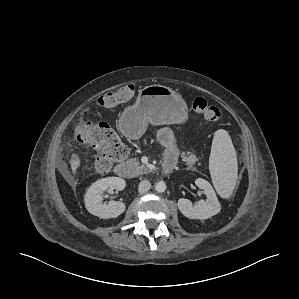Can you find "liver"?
Wrapping results in <instances>:
<instances>
[{"label": "liver", "mask_w": 299, "mask_h": 299, "mask_svg": "<svg viewBox=\"0 0 299 299\" xmlns=\"http://www.w3.org/2000/svg\"><path fill=\"white\" fill-rule=\"evenodd\" d=\"M70 163H71V168H72L73 172L75 173L76 169L80 165V160H79L78 156L73 154Z\"/></svg>", "instance_id": "6515ba94"}]
</instances>
